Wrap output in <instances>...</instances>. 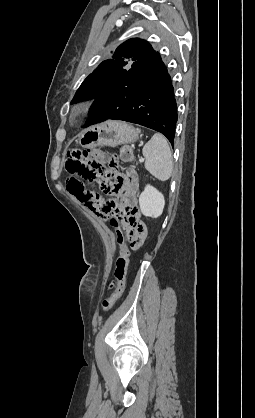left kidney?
<instances>
[{
    "label": "left kidney",
    "instance_id": "obj_1",
    "mask_svg": "<svg viewBox=\"0 0 255 418\" xmlns=\"http://www.w3.org/2000/svg\"><path fill=\"white\" fill-rule=\"evenodd\" d=\"M139 205L144 216L157 218L164 209V196L153 186L147 185L139 197Z\"/></svg>",
    "mask_w": 255,
    "mask_h": 418
}]
</instances>
